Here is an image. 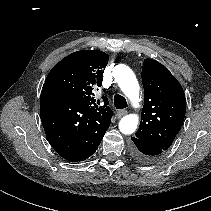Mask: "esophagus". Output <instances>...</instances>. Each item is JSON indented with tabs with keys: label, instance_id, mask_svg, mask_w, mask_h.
I'll use <instances>...</instances> for the list:
<instances>
[{
	"label": "esophagus",
	"instance_id": "34e87169",
	"mask_svg": "<svg viewBox=\"0 0 211 211\" xmlns=\"http://www.w3.org/2000/svg\"><path fill=\"white\" fill-rule=\"evenodd\" d=\"M127 114V111L126 110H119V111H117V113H116V117L117 118H121V117H123L124 115H126Z\"/></svg>",
	"mask_w": 211,
	"mask_h": 211
}]
</instances>
